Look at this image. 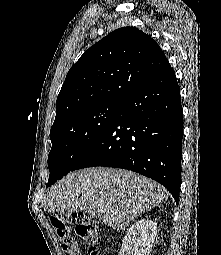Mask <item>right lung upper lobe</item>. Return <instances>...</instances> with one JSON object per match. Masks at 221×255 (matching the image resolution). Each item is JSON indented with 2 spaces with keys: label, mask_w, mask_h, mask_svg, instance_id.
I'll list each match as a JSON object with an SVG mask.
<instances>
[{
  "label": "right lung upper lobe",
  "mask_w": 221,
  "mask_h": 255,
  "mask_svg": "<svg viewBox=\"0 0 221 255\" xmlns=\"http://www.w3.org/2000/svg\"><path fill=\"white\" fill-rule=\"evenodd\" d=\"M168 64L160 46L139 29L123 27L109 33L67 73L53 125L84 108L121 103Z\"/></svg>",
  "instance_id": "right-lung-upper-lobe-1"
}]
</instances>
